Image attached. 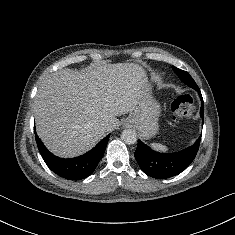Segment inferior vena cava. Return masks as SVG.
Segmentation results:
<instances>
[{
  "label": "inferior vena cava",
  "instance_id": "602c4592",
  "mask_svg": "<svg viewBox=\"0 0 235 235\" xmlns=\"http://www.w3.org/2000/svg\"><path fill=\"white\" fill-rule=\"evenodd\" d=\"M107 125L108 124L106 122H103V123H101V128L105 129L107 127Z\"/></svg>",
  "mask_w": 235,
  "mask_h": 235
}]
</instances>
